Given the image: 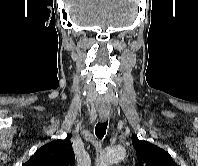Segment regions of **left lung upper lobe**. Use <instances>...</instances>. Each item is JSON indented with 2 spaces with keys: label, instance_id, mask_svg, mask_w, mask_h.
Returning a JSON list of instances; mask_svg holds the SVG:
<instances>
[{
  "label": "left lung upper lobe",
  "instance_id": "left-lung-upper-lobe-1",
  "mask_svg": "<svg viewBox=\"0 0 198 166\" xmlns=\"http://www.w3.org/2000/svg\"><path fill=\"white\" fill-rule=\"evenodd\" d=\"M132 144L137 153V166H178L167 151L152 143L134 136Z\"/></svg>",
  "mask_w": 198,
  "mask_h": 166
}]
</instances>
